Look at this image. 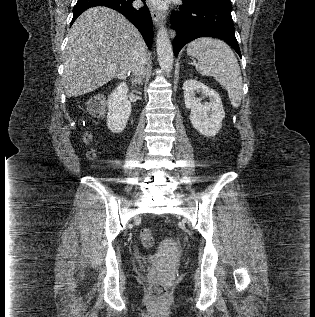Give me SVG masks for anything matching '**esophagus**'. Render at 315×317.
Segmentation results:
<instances>
[{
  "label": "esophagus",
  "instance_id": "34e87169",
  "mask_svg": "<svg viewBox=\"0 0 315 317\" xmlns=\"http://www.w3.org/2000/svg\"><path fill=\"white\" fill-rule=\"evenodd\" d=\"M150 13L154 24L158 27L165 21V16L154 8H150Z\"/></svg>",
  "mask_w": 315,
  "mask_h": 317
}]
</instances>
